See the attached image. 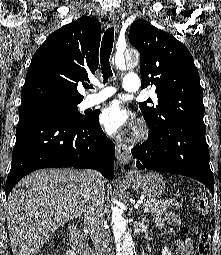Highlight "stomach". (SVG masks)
I'll list each match as a JSON object with an SVG mask.
<instances>
[{"label": "stomach", "mask_w": 221, "mask_h": 255, "mask_svg": "<svg viewBox=\"0 0 221 255\" xmlns=\"http://www.w3.org/2000/svg\"><path fill=\"white\" fill-rule=\"evenodd\" d=\"M128 183L138 193L149 198L159 196L165 190V180L156 172L130 175Z\"/></svg>", "instance_id": "0dacf381"}]
</instances>
